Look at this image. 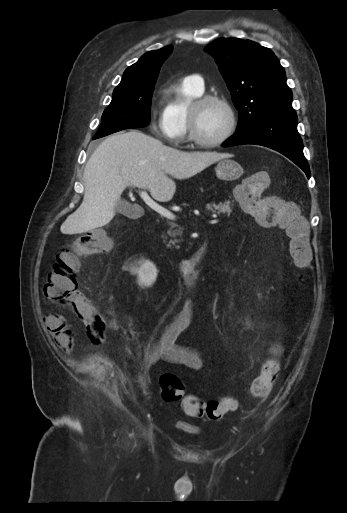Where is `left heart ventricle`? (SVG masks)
<instances>
[{
	"instance_id": "b2bd125f",
	"label": "left heart ventricle",
	"mask_w": 347,
	"mask_h": 513,
	"mask_svg": "<svg viewBox=\"0 0 347 513\" xmlns=\"http://www.w3.org/2000/svg\"><path fill=\"white\" fill-rule=\"evenodd\" d=\"M195 122L201 138L214 140L225 132L228 125V114L222 105L211 102L196 110Z\"/></svg>"
}]
</instances>
